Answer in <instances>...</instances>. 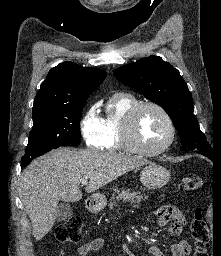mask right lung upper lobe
<instances>
[{
	"mask_svg": "<svg viewBox=\"0 0 221 256\" xmlns=\"http://www.w3.org/2000/svg\"><path fill=\"white\" fill-rule=\"evenodd\" d=\"M107 73L72 62L52 68L35 97L33 110L74 106L87 101Z\"/></svg>",
	"mask_w": 221,
	"mask_h": 256,
	"instance_id": "right-lung-upper-lobe-1",
	"label": "right lung upper lobe"
}]
</instances>
